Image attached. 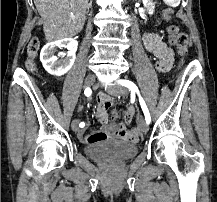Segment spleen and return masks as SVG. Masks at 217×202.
<instances>
[{
  "mask_svg": "<svg viewBox=\"0 0 217 202\" xmlns=\"http://www.w3.org/2000/svg\"><path fill=\"white\" fill-rule=\"evenodd\" d=\"M165 5L170 7H177L179 5V0H165Z\"/></svg>",
  "mask_w": 217,
  "mask_h": 202,
  "instance_id": "spleen-1",
  "label": "spleen"
}]
</instances>
